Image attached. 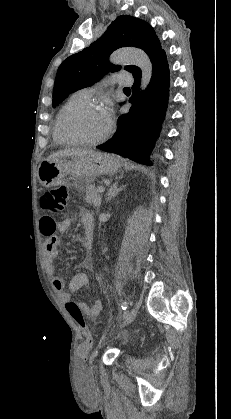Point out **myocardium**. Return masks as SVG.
Listing matches in <instances>:
<instances>
[{
	"label": "myocardium",
	"mask_w": 231,
	"mask_h": 419,
	"mask_svg": "<svg viewBox=\"0 0 231 419\" xmlns=\"http://www.w3.org/2000/svg\"><path fill=\"white\" fill-rule=\"evenodd\" d=\"M99 109L100 107L97 104L92 103V102H87L85 104L78 105L72 108L71 110H69L64 115L61 122V129L64 136L68 138L70 141L76 144H82V145H97L105 141L111 134V126L108 127L107 131L103 135L95 139H85L81 136H78L77 134L73 133L69 127L70 121L78 114L85 111H89V110H99Z\"/></svg>",
	"instance_id": "obj_1"
}]
</instances>
